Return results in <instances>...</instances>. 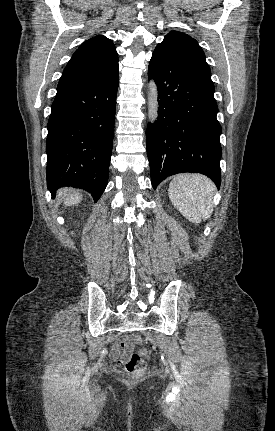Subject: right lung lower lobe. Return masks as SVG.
Returning a JSON list of instances; mask_svg holds the SVG:
<instances>
[{"label": "right lung lower lobe", "mask_w": 275, "mask_h": 431, "mask_svg": "<svg viewBox=\"0 0 275 431\" xmlns=\"http://www.w3.org/2000/svg\"><path fill=\"white\" fill-rule=\"evenodd\" d=\"M118 71L85 86L58 90L48 120L47 186L82 188L95 202L106 188L113 145Z\"/></svg>", "instance_id": "right-lung-lower-lobe-1"}]
</instances>
